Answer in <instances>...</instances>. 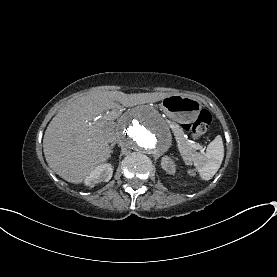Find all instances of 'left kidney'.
<instances>
[{"label":"left kidney","mask_w":277,"mask_h":277,"mask_svg":"<svg viewBox=\"0 0 277 277\" xmlns=\"http://www.w3.org/2000/svg\"><path fill=\"white\" fill-rule=\"evenodd\" d=\"M162 167L168 174H174L175 173V166L171 159L169 158H163L162 160Z\"/></svg>","instance_id":"1"}]
</instances>
